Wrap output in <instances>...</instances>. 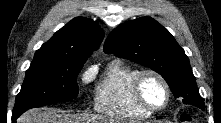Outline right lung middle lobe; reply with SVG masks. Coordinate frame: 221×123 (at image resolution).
Returning a JSON list of instances; mask_svg holds the SVG:
<instances>
[{"mask_svg": "<svg viewBox=\"0 0 221 123\" xmlns=\"http://www.w3.org/2000/svg\"><path fill=\"white\" fill-rule=\"evenodd\" d=\"M83 61L33 59L17 95L13 112L59 101H69L78 95L76 77Z\"/></svg>", "mask_w": 221, "mask_h": 123, "instance_id": "obj_1", "label": "right lung middle lobe"}]
</instances>
